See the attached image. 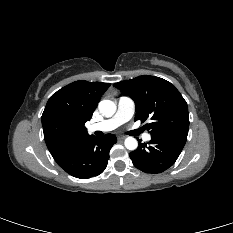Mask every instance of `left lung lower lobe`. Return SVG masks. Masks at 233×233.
I'll list each match as a JSON object with an SVG mask.
<instances>
[{
    "label": "left lung lower lobe",
    "mask_w": 233,
    "mask_h": 233,
    "mask_svg": "<svg viewBox=\"0 0 233 233\" xmlns=\"http://www.w3.org/2000/svg\"><path fill=\"white\" fill-rule=\"evenodd\" d=\"M186 139V133L152 136L149 143H140L129 156L139 170L145 173H161L175 163Z\"/></svg>",
    "instance_id": "1"
}]
</instances>
